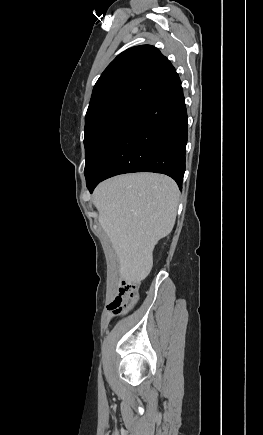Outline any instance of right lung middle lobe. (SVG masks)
I'll use <instances>...</instances> for the list:
<instances>
[{"instance_id":"right-lung-middle-lobe-1","label":"right lung middle lobe","mask_w":263,"mask_h":435,"mask_svg":"<svg viewBox=\"0 0 263 435\" xmlns=\"http://www.w3.org/2000/svg\"><path fill=\"white\" fill-rule=\"evenodd\" d=\"M144 103L119 101L96 107L85 118V177L96 173L122 132Z\"/></svg>"}]
</instances>
